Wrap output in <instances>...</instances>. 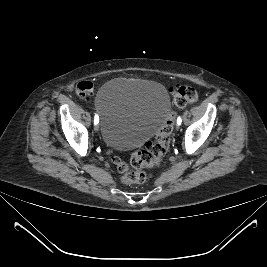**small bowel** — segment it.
I'll list each match as a JSON object with an SVG mask.
<instances>
[{
    "label": "small bowel",
    "instance_id": "1",
    "mask_svg": "<svg viewBox=\"0 0 267 267\" xmlns=\"http://www.w3.org/2000/svg\"><path fill=\"white\" fill-rule=\"evenodd\" d=\"M77 93L81 97H88L92 93V84L88 81H82L77 85Z\"/></svg>",
    "mask_w": 267,
    "mask_h": 267
}]
</instances>
